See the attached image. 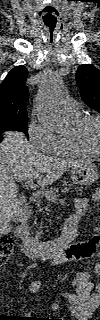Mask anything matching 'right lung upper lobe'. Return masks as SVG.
I'll list each match as a JSON object with an SVG mask.
<instances>
[{"instance_id":"cb5924a9","label":"right lung upper lobe","mask_w":100,"mask_h":320,"mask_svg":"<svg viewBox=\"0 0 100 320\" xmlns=\"http://www.w3.org/2000/svg\"><path fill=\"white\" fill-rule=\"evenodd\" d=\"M28 72L23 65L13 68L0 84V120L27 117Z\"/></svg>"}]
</instances>
